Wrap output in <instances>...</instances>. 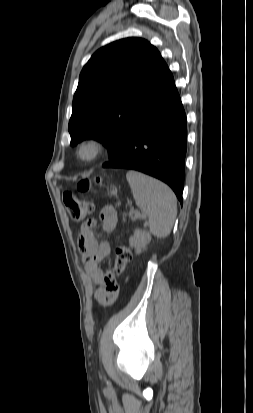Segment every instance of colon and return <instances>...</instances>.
Listing matches in <instances>:
<instances>
[{"label": "colon", "instance_id": "obj_1", "mask_svg": "<svg viewBox=\"0 0 253 413\" xmlns=\"http://www.w3.org/2000/svg\"><path fill=\"white\" fill-rule=\"evenodd\" d=\"M89 189L90 182L88 180H83L78 184V190L81 193H85ZM107 195L114 196V190L109 189L107 191ZM63 201L70 217L75 221H81L88 218L94 210V205L92 202L77 197L71 192H65L63 194ZM131 259L132 253L128 247H118L116 249L115 260L113 264L114 272L117 274L123 273Z\"/></svg>", "mask_w": 253, "mask_h": 413}]
</instances>
